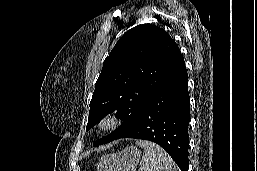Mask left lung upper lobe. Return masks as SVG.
Masks as SVG:
<instances>
[{
    "label": "left lung upper lobe",
    "instance_id": "5c2ea615",
    "mask_svg": "<svg viewBox=\"0 0 257 171\" xmlns=\"http://www.w3.org/2000/svg\"><path fill=\"white\" fill-rule=\"evenodd\" d=\"M179 52L164 29L150 24L138 25L118 40L95 84L86 129L113 111L123 123L94 146L112 141L132 124Z\"/></svg>",
    "mask_w": 257,
    "mask_h": 171
}]
</instances>
